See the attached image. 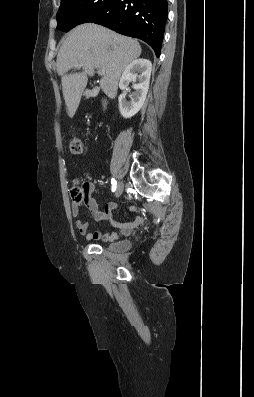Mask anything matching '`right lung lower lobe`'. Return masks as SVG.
I'll return each mask as SVG.
<instances>
[{
	"mask_svg": "<svg viewBox=\"0 0 254 397\" xmlns=\"http://www.w3.org/2000/svg\"><path fill=\"white\" fill-rule=\"evenodd\" d=\"M167 7V0H113L100 16L90 22L145 41L159 57L168 17Z\"/></svg>",
	"mask_w": 254,
	"mask_h": 397,
	"instance_id": "1",
	"label": "right lung lower lobe"
}]
</instances>
